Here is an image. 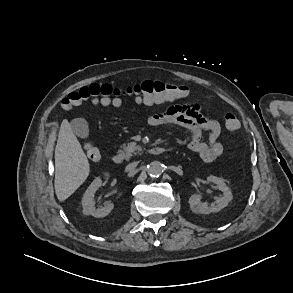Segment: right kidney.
<instances>
[{
  "label": "right kidney",
  "mask_w": 293,
  "mask_h": 293,
  "mask_svg": "<svg viewBox=\"0 0 293 293\" xmlns=\"http://www.w3.org/2000/svg\"><path fill=\"white\" fill-rule=\"evenodd\" d=\"M102 185V180L100 178H96L90 186L87 188L84 196L82 198V207L83 213L85 215H91L96 218H101L107 216L112 209L114 208V204L108 203L101 209L95 208L94 195L99 187Z\"/></svg>",
  "instance_id": "obj_1"
}]
</instances>
